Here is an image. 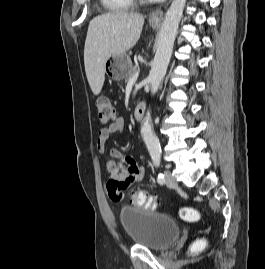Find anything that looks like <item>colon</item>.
<instances>
[{"label":"colon","mask_w":265,"mask_h":269,"mask_svg":"<svg viewBox=\"0 0 265 269\" xmlns=\"http://www.w3.org/2000/svg\"><path fill=\"white\" fill-rule=\"evenodd\" d=\"M96 108L101 123L107 124L116 119V109L108 97H99L96 102ZM130 198L133 204L142 208L151 209L155 206L154 198L141 189L131 191ZM181 215L186 220L199 219L198 212L192 207H184L181 211Z\"/></svg>","instance_id":"colon-1"}]
</instances>
